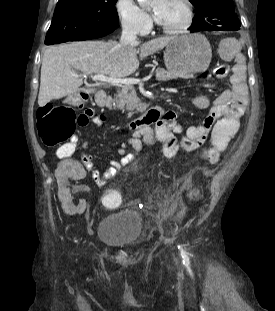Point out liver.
I'll return each instance as SVG.
<instances>
[{
	"mask_svg": "<svg viewBox=\"0 0 275 311\" xmlns=\"http://www.w3.org/2000/svg\"><path fill=\"white\" fill-rule=\"evenodd\" d=\"M175 37H159L142 45L136 41L122 45L115 41H80L51 46L46 49L41 66L38 105L45 106L53 99H60L79 90L94 93V88H82L85 75L103 74L109 77H125L139 67V57L145 58L169 44Z\"/></svg>",
	"mask_w": 275,
	"mask_h": 311,
	"instance_id": "6515ba94",
	"label": "liver"
}]
</instances>
